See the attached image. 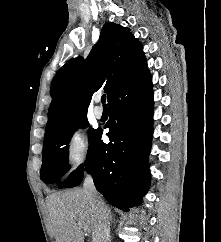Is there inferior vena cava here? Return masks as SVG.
<instances>
[{"label":"inferior vena cava","instance_id":"obj_1","mask_svg":"<svg viewBox=\"0 0 221 242\" xmlns=\"http://www.w3.org/2000/svg\"><path fill=\"white\" fill-rule=\"evenodd\" d=\"M83 189L92 206L96 219L94 242H110L109 210L99 196L92 177L88 174L84 179Z\"/></svg>","mask_w":221,"mask_h":242}]
</instances>
